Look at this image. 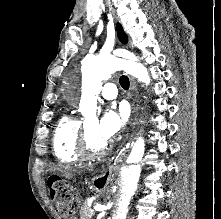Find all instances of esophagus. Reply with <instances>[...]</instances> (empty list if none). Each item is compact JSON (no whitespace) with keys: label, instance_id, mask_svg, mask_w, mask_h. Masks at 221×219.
<instances>
[{"label":"esophagus","instance_id":"esophagus-1","mask_svg":"<svg viewBox=\"0 0 221 219\" xmlns=\"http://www.w3.org/2000/svg\"><path fill=\"white\" fill-rule=\"evenodd\" d=\"M130 90H131V104H132V110L135 109V103L137 100V90L135 86V82L132 77H130Z\"/></svg>","mask_w":221,"mask_h":219}]
</instances>
